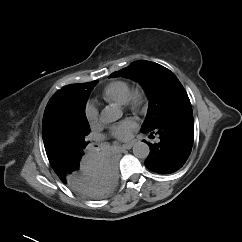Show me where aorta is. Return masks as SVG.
I'll use <instances>...</instances> for the list:
<instances>
[{"label":"aorta","mask_w":242,"mask_h":242,"mask_svg":"<svg viewBox=\"0 0 242 242\" xmlns=\"http://www.w3.org/2000/svg\"><path fill=\"white\" fill-rule=\"evenodd\" d=\"M122 111L116 106H106L100 113V121L105 124L113 123L122 117ZM150 153L149 146L141 141L133 145V154L140 159H146Z\"/></svg>","instance_id":"aorta-1"}]
</instances>
